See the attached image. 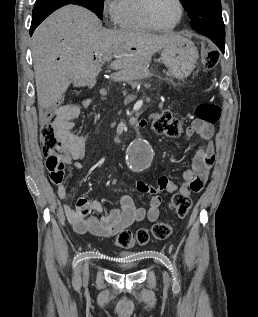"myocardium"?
Returning <instances> with one entry per match:
<instances>
[{"label":"myocardium","mask_w":258,"mask_h":317,"mask_svg":"<svg viewBox=\"0 0 258 317\" xmlns=\"http://www.w3.org/2000/svg\"><path fill=\"white\" fill-rule=\"evenodd\" d=\"M154 1L155 0H146V2L143 5V8H142V20H143L144 24L148 28H150L151 30H155V31H159V32H168V31L174 30L179 25V23L181 22L182 17H183V4H182V1L181 0H175L177 5H178L179 15H178V18H177L176 22L173 25H171L170 27H159V26H156L152 22V20L150 18V15H149V12H150L151 5H152V3Z\"/></svg>","instance_id":"myocardium-1"}]
</instances>
